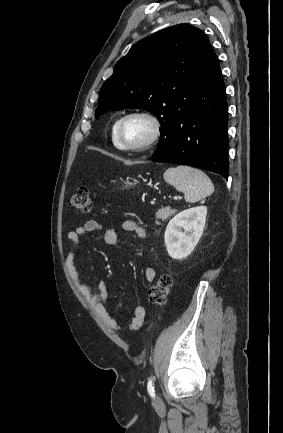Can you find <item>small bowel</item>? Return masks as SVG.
<instances>
[{
  "mask_svg": "<svg viewBox=\"0 0 283 433\" xmlns=\"http://www.w3.org/2000/svg\"><path fill=\"white\" fill-rule=\"evenodd\" d=\"M122 229L125 232H135L140 239H145L147 236L146 230L139 226L133 220H126L122 224ZM103 230L102 225L95 221L89 220L82 226L77 227L75 230L70 231L67 234V241L72 246V250L68 253L66 258V266L69 275L77 288V290L83 295L89 305L92 307L94 312L99 318L110 328L121 331H137L143 324L146 310L144 306L138 305L134 308L133 316L125 325L121 327L118 322L109 314L103 301L107 298L109 287L106 282H100L96 292H92L90 287L82 280L76 265H75V249L78 247L80 239L85 237L88 233L93 231ZM104 241L110 246H114L118 243V235L113 229L104 230ZM145 279L148 282H153L156 277V270L153 267H147L144 271Z\"/></svg>",
  "mask_w": 283,
  "mask_h": 433,
  "instance_id": "small-bowel-1",
  "label": "small bowel"
}]
</instances>
